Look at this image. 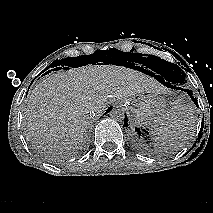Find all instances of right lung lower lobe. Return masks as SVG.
Wrapping results in <instances>:
<instances>
[{"instance_id":"98d812e1","label":"right lung lower lobe","mask_w":213,"mask_h":213,"mask_svg":"<svg viewBox=\"0 0 213 213\" xmlns=\"http://www.w3.org/2000/svg\"><path fill=\"white\" fill-rule=\"evenodd\" d=\"M61 67H55V68H53L52 70H59ZM48 72H50V71H48ZM47 72V73H48ZM111 108L112 107H109L108 109H107V112L106 113H108L110 110H111Z\"/></svg>"}]
</instances>
